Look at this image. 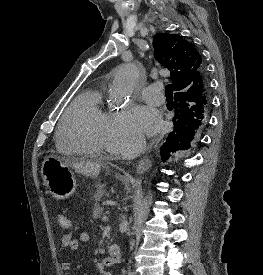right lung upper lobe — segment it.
<instances>
[{"instance_id":"1","label":"right lung upper lobe","mask_w":263,"mask_h":275,"mask_svg":"<svg viewBox=\"0 0 263 275\" xmlns=\"http://www.w3.org/2000/svg\"><path fill=\"white\" fill-rule=\"evenodd\" d=\"M154 56L171 70L176 94L184 96V106L208 116L210 93L207 79L201 77L202 58L194 45L178 34L158 33L153 41Z\"/></svg>"}]
</instances>
